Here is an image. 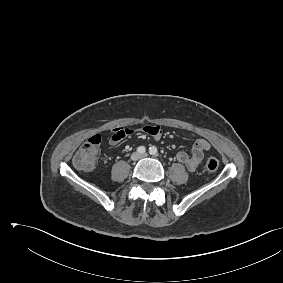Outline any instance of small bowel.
Instances as JSON below:
<instances>
[{"mask_svg":"<svg viewBox=\"0 0 283 283\" xmlns=\"http://www.w3.org/2000/svg\"><path fill=\"white\" fill-rule=\"evenodd\" d=\"M143 131L155 139H159L162 135V129L160 126H145ZM132 131L128 128L115 127L112 129V135L108 140L110 146L118 145L127 135L131 134ZM210 149V143L204 139H197L192 147L191 154L185 151H179L176 154L178 162L183 164L189 171H195L202 164L205 156V152Z\"/></svg>","mask_w":283,"mask_h":283,"instance_id":"small-bowel-1","label":"small bowel"}]
</instances>
